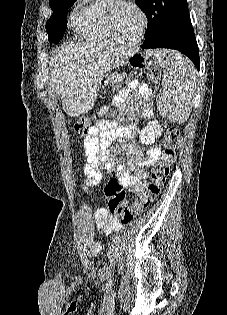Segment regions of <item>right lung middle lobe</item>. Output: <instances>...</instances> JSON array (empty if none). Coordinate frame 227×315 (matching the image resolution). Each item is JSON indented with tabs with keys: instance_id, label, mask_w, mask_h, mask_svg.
<instances>
[{
	"instance_id": "1",
	"label": "right lung middle lobe",
	"mask_w": 227,
	"mask_h": 315,
	"mask_svg": "<svg viewBox=\"0 0 227 315\" xmlns=\"http://www.w3.org/2000/svg\"><path fill=\"white\" fill-rule=\"evenodd\" d=\"M76 0H53L50 7L53 11L51 18L46 23L48 40L58 44L66 31L67 11Z\"/></svg>"
}]
</instances>
